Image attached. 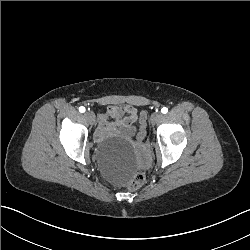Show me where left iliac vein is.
Returning <instances> with one entry per match:
<instances>
[{
  "label": "left iliac vein",
  "mask_w": 250,
  "mask_h": 250,
  "mask_svg": "<svg viewBox=\"0 0 250 250\" xmlns=\"http://www.w3.org/2000/svg\"><path fill=\"white\" fill-rule=\"evenodd\" d=\"M163 115L161 113H154L152 116H151V123L152 124H155V123H158V122H161L162 119H163Z\"/></svg>",
  "instance_id": "4c4485c4"
}]
</instances>
